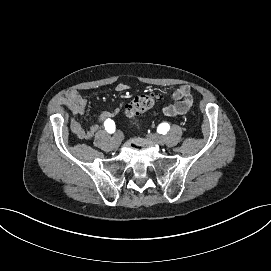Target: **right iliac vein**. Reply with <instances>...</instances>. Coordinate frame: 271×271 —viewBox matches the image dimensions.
<instances>
[{"label": "right iliac vein", "mask_w": 271, "mask_h": 271, "mask_svg": "<svg viewBox=\"0 0 271 271\" xmlns=\"http://www.w3.org/2000/svg\"><path fill=\"white\" fill-rule=\"evenodd\" d=\"M114 142L116 145H119L121 142H122V135L121 133H117L115 136H114Z\"/></svg>", "instance_id": "63e3f726"}]
</instances>
